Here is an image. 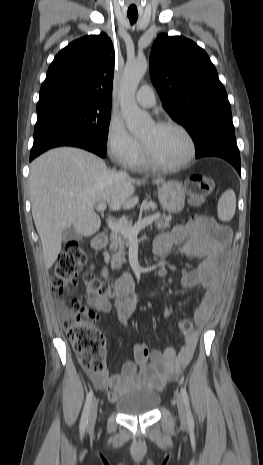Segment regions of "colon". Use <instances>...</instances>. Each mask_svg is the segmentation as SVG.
I'll return each instance as SVG.
<instances>
[{
    "label": "colon",
    "instance_id": "colon-1",
    "mask_svg": "<svg viewBox=\"0 0 263 465\" xmlns=\"http://www.w3.org/2000/svg\"><path fill=\"white\" fill-rule=\"evenodd\" d=\"M214 187L213 180L203 174H193L185 181V190L189 203L200 206ZM194 223L217 228V225L204 215H194L191 218ZM88 261V255L79 242L66 243L52 275V287L62 293L73 284ZM82 282L90 295L98 297L120 298L124 292L118 286H109L91 273L83 274ZM72 310L64 321V328L72 343L74 352L80 365L88 372L98 373L105 369L106 338L96 326V314L89 308L82 306L81 300L75 298L71 302ZM178 327L184 334L192 332L193 325L190 320L183 319Z\"/></svg>",
    "mask_w": 263,
    "mask_h": 465
}]
</instances>
